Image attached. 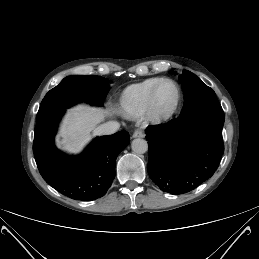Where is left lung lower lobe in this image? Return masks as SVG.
Instances as JSON below:
<instances>
[{"label":"left lung lower lobe","instance_id":"1","mask_svg":"<svg viewBox=\"0 0 259 259\" xmlns=\"http://www.w3.org/2000/svg\"><path fill=\"white\" fill-rule=\"evenodd\" d=\"M224 118L221 107L207 108L147 127L148 173L163 192H190L214 174L224 152Z\"/></svg>","mask_w":259,"mask_h":259}]
</instances>
